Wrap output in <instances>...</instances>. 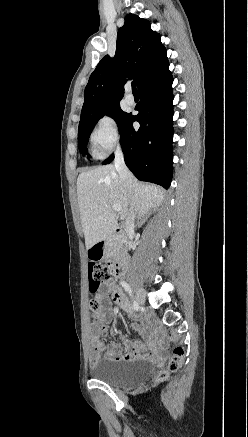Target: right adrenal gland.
Wrapping results in <instances>:
<instances>
[{
    "label": "right adrenal gland",
    "instance_id": "2a0ac1e0",
    "mask_svg": "<svg viewBox=\"0 0 248 437\" xmlns=\"http://www.w3.org/2000/svg\"><path fill=\"white\" fill-rule=\"evenodd\" d=\"M145 222V217L138 223L139 226H141Z\"/></svg>",
    "mask_w": 248,
    "mask_h": 437
}]
</instances>
